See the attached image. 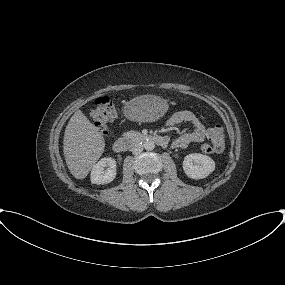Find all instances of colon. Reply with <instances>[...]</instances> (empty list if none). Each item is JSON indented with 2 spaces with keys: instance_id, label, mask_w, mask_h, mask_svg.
<instances>
[{
  "instance_id": "5ec220e1",
  "label": "colon",
  "mask_w": 285,
  "mask_h": 285,
  "mask_svg": "<svg viewBox=\"0 0 285 285\" xmlns=\"http://www.w3.org/2000/svg\"><path fill=\"white\" fill-rule=\"evenodd\" d=\"M117 110L110 96L97 98L91 108V117L95 127L102 133H106L108 125L116 118ZM209 143L202 146L204 153L221 152L224 149L225 133L220 125H216L208 131Z\"/></svg>"
}]
</instances>
